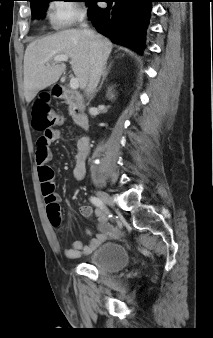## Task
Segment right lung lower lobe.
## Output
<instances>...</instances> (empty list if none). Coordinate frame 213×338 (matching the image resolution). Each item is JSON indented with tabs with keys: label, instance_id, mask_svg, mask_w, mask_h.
<instances>
[{
	"label": "right lung lower lobe",
	"instance_id": "right-lung-lower-lobe-1",
	"mask_svg": "<svg viewBox=\"0 0 213 338\" xmlns=\"http://www.w3.org/2000/svg\"><path fill=\"white\" fill-rule=\"evenodd\" d=\"M108 3L99 8L96 3ZM157 0H92L88 16L98 32L114 43L124 45L141 53L144 48L145 31L149 23L151 3Z\"/></svg>",
	"mask_w": 213,
	"mask_h": 338
}]
</instances>
